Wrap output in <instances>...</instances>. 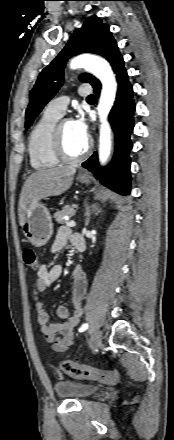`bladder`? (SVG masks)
<instances>
[{
    "label": "bladder",
    "mask_w": 174,
    "mask_h": 440,
    "mask_svg": "<svg viewBox=\"0 0 174 440\" xmlns=\"http://www.w3.org/2000/svg\"><path fill=\"white\" fill-rule=\"evenodd\" d=\"M54 390L61 398L83 399L93 395L98 387L85 382H58Z\"/></svg>",
    "instance_id": "bladder-1"
}]
</instances>
